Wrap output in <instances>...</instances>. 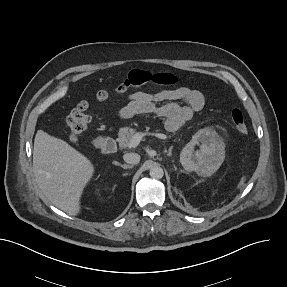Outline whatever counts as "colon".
<instances>
[{"label":"colon","instance_id":"obj_1","mask_svg":"<svg viewBox=\"0 0 287 287\" xmlns=\"http://www.w3.org/2000/svg\"><path fill=\"white\" fill-rule=\"evenodd\" d=\"M177 78L170 73H151L145 70H133L127 78L118 85L114 95L125 97L131 91L141 88L147 84H157L160 86H172L176 84ZM112 94L108 91L101 90L96 94V100L106 102ZM231 120L237 132L240 134L247 133V125L243 113L239 109L231 111ZM91 121V107L89 102L81 101L68 114L66 118V129L71 142H78L83 132L86 131Z\"/></svg>","mask_w":287,"mask_h":287}]
</instances>
